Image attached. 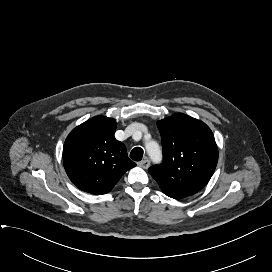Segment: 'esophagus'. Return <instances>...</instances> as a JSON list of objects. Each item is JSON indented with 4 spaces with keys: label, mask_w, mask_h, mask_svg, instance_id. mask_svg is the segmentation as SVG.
I'll list each match as a JSON object with an SVG mask.
<instances>
[{
    "label": "esophagus",
    "mask_w": 272,
    "mask_h": 272,
    "mask_svg": "<svg viewBox=\"0 0 272 272\" xmlns=\"http://www.w3.org/2000/svg\"><path fill=\"white\" fill-rule=\"evenodd\" d=\"M138 166L142 167L143 169H147L150 166V161L145 158L142 161L138 162Z\"/></svg>",
    "instance_id": "obj_1"
}]
</instances>
